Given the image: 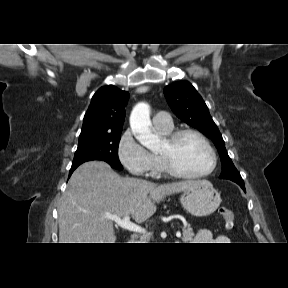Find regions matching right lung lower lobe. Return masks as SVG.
Segmentation results:
<instances>
[{
    "instance_id": "obj_1",
    "label": "right lung lower lobe",
    "mask_w": 288,
    "mask_h": 288,
    "mask_svg": "<svg viewBox=\"0 0 288 288\" xmlns=\"http://www.w3.org/2000/svg\"><path fill=\"white\" fill-rule=\"evenodd\" d=\"M77 167H78V166L71 167L70 172H69V176L73 173V171H74Z\"/></svg>"
}]
</instances>
